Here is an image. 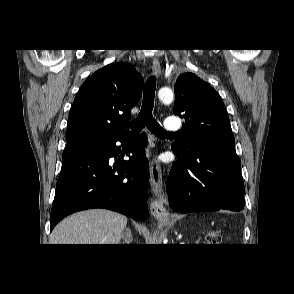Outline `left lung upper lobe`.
Here are the masks:
<instances>
[{"label":"left lung upper lobe","instance_id":"obj_1","mask_svg":"<svg viewBox=\"0 0 294 294\" xmlns=\"http://www.w3.org/2000/svg\"><path fill=\"white\" fill-rule=\"evenodd\" d=\"M175 115L186 119L185 140L172 146L186 153L195 148L235 152V139L229 126V116L215 89L193 73L180 75L175 84Z\"/></svg>","mask_w":294,"mask_h":294}]
</instances>
